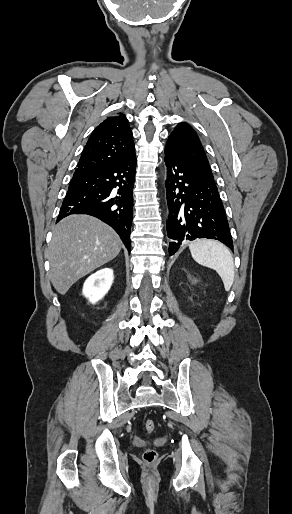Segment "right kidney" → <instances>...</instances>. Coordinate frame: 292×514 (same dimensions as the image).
Instances as JSON below:
<instances>
[{
    "instance_id": "1",
    "label": "right kidney",
    "mask_w": 292,
    "mask_h": 514,
    "mask_svg": "<svg viewBox=\"0 0 292 514\" xmlns=\"http://www.w3.org/2000/svg\"><path fill=\"white\" fill-rule=\"evenodd\" d=\"M113 278V270H110V268L98 270L96 274H92V276H89L86 282H84L83 296H86L92 304H95L98 300H102L103 296L110 290Z\"/></svg>"
}]
</instances>
